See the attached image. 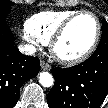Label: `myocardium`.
Segmentation results:
<instances>
[{
	"instance_id": "myocardium-1",
	"label": "myocardium",
	"mask_w": 108,
	"mask_h": 108,
	"mask_svg": "<svg viewBox=\"0 0 108 108\" xmlns=\"http://www.w3.org/2000/svg\"><path fill=\"white\" fill-rule=\"evenodd\" d=\"M84 15L91 16L94 19L95 24H96V33H95V37H94L91 45L88 47L87 50H85L82 54H80L78 56L65 57V56L61 55L57 50L58 43L63 38V36L65 35L66 31L71 26V24L76 19H78L79 17L84 16ZM100 37H101V24H100L98 17L93 12H90V11H78L75 14L71 15L69 18H67L60 25V27L56 30V32L54 33V35L52 36V38L49 42L50 51H51V54L53 55V57L59 63L67 65V66L76 65V64H79V63L85 61L93 54V52L96 50V48L98 46Z\"/></svg>"
}]
</instances>
